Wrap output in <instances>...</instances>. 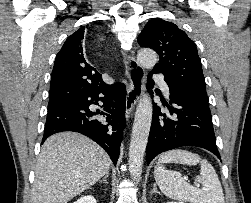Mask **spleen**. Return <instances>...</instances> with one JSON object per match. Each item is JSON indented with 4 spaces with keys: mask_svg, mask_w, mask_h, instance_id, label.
<instances>
[{
    "mask_svg": "<svg viewBox=\"0 0 251 203\" xmlns=\"http://www.w3.org/2000/svg\"><path fill=\"white\" fill-rule=\"evenodd\" d=\"M178 163L184 165L200 164V175L196 181L204 188L187 183L181 173L166 170L163 164ZM154 178L163 194L178 201L190 203H225L222 186L213 166L198 154L187 150L175 149L162 153L154 169ZM183 203V202H180Z\"/></svg>",
    "mask_w": 251,
    "mask_h": 203,
    "instance_id": "3e777b00",
    "label": "spleen"
}]
</instances>
